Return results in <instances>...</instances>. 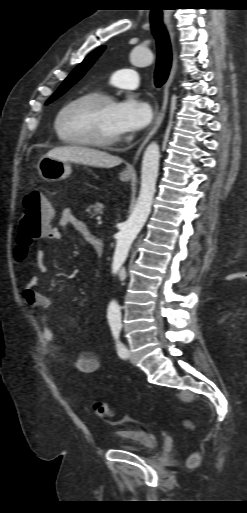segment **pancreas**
Instances as JSON below:
<instances>
[{
    "mask_svg": "<svg viewBox=\"0 0 247 513\" xmlns=\"http://www.w3.org/2000/svg\"><path fill=\"white\" fill-rule=\"evenodd\" d=\"M103 205L101 203H95L88 207V211H90V218L97 216L102 213Z\"/></svg>",
    "mask_w": 247,
    "mask_h": 513,
    "instance_id": "1",
    "label": "pancreas"
}]
</instances>
